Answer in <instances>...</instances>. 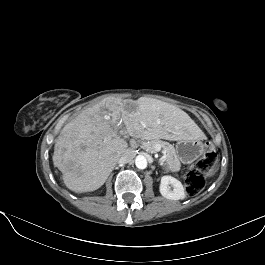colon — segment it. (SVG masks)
Listing matches in <instances>:
<instances>
[{
  "label": "colon",
  "mask_w": 265,
  "mask_h": 265,
  "mask_svg": "<svg viewBox=\"0 0 265 265\" xmlns=\"http://www.w3.org/2000/svg\"><path fill=\"white\" fill-rule=\"evenodd\" d=\"M216 156L214 146L207 143L203 157L186 174L185 183L189 195L195 196L201 192L205 184V174L215 164Z\"/></svg>",
  "instance_id": "colon-1"
}]
</instances>
